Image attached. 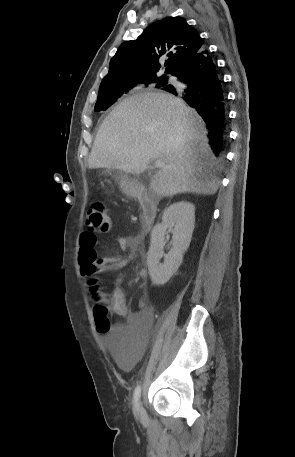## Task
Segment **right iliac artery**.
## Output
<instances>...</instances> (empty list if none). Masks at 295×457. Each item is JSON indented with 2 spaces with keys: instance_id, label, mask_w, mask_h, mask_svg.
Wrapping results in <instances>:
<instances>
[{
  "instance_id": "right-iliac-artery-1",
  "label": "right iliac artery",
  "mask_w": 295,
  "mask_h": 457,
  "mask_svg": "<svg viewBox=\"0 0 295 457\" xmlns=\"http://www.w3.org/2000/svg\"><path fill=\"white\" fill-rule=\"evenodd\" d=\"M140 396H141V387L137 386L134 391V396H133V401H134V407L135 410L138 412L139 411V406H140Z\"/></svg>"
}]
</instances>
